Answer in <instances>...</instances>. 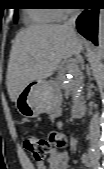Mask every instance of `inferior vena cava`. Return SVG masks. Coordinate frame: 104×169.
Segmentation results:
<instances>
[{"label": "inferior vena cava", "mask_w": 104, "mask_h": 169, "mask_svg": "<svg viewBox=\"0 0 104 169\" xmlns=\"http://www.w3.org/2000/svg\"><path fill=\"white\" fill-rule=\"evenodd\" d=\"M78 12H74L69 20L64 24V27L70 30L73 33L75 32V21L77 18ZM89 136H90V142L93 147H97L99 143V137H100V126H99V114L96 112L93 114L90 126H89Z\"/></svg>", "instance_id": "inferior-vena-cava-1"}]
</instances>
